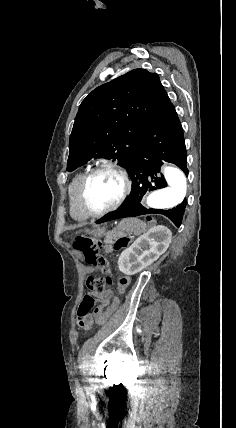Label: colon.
<instances>
[{"instance_id": "obj_1", "label": "colon", "mask_w": 236, "mask_h": 428, "mask_svg": "<svg viewBox=\"0 0 236 428\" xmlns=\"http://www.w3.org/2000/svg\"><path fill=\"white\" fill-rule=\"evenodd\" d=\"M129 239L125 236L117 238L113 243V248L116 250L126 247ZM101 241L95 238L86 236H77L73 247L84 258L85 262L101 270L105 277L89 276L86 280V285L89 290L78 309V323L84 327L95 317L98 323L106 322L117 310L120 305L122 296L130 283V278L127 276L121 277L118 280L117 293L114 296L111 304L104 309L96 307V296L105 290L107 285L113 282L112 272L107 259L100 254Z\"/></svg>"}]
</instances>
